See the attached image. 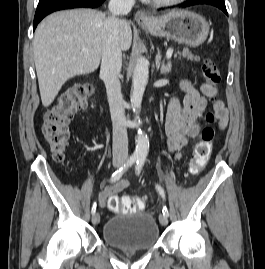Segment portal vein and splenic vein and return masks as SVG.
I'll use <instances>...</instances> for the list:
<instances>
[{
	"mask_svg": "<svg viewBox=\"0 0 265 269\" xmlns=\"http://www.w3.org/2000/svg\"><path fill=\"white\" fill-rule=\"evenodd\" d=\"M84 52H85V53H88L87 50H85ZM172 54H173V49H172V48H169V49L167 50V52H166V56H167V58H171Z\"/></svg>",
	"mask_w": 265,
	"mask_h": 269,
	"instance_id": "18ae733b",
	"label": "portal vein and splenic vein"
}]
</instances>
